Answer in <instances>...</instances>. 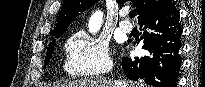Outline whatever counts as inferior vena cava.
I'll use <instances>...</instances> for the list:
<instances>
[{
    "label": "inferior vena cava",
    "mask_w": 205,
    "mask_h": 87,
    "mask_svg": "<svg viewBox=\"0 0 205 87\" xmlns=\"http://www.w3.org/2000/svg\"><path fill=\"white\" fill-rule=\"evenodd\" d=\"M114 87H125V85L122 82H114Z\"/></svg>",
    "instance_id": "602c4592"
}]
</instances>
